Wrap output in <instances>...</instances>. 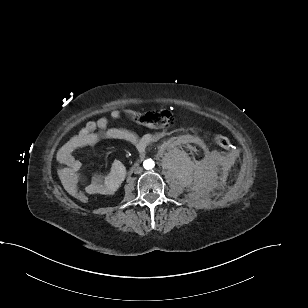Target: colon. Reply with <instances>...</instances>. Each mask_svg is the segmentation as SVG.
Returning a JSON list of instances; mask_svg holds the SVG:
<instances>
[{"label": "colon", "instance_id": "5ec220e1", "mask_svg": "<svg viewBox=\"0 0 308 308\" xmlns=\"http://www.w3.org/2000/svg\"><path fill=\"white\" fill-rule=\"evenodd\" d=\"M132 118L138 124L151 129L165 128L173 122L171 112L166 109L154 112L134 113L132 114ZM215 142L224 149H229L231 146L230 140L224 135H217ZM74 198L82 204L87 203L89 200L88 194L83 190L76 191Z\"/></svg>", "mask_w": 308, "mask_h": 308}]
</instances>
